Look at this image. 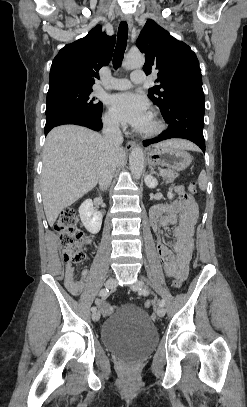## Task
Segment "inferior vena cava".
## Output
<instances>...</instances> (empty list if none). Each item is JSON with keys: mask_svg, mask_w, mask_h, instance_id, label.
<instances>
[{"mask_svg": "<svg viewBox=\"0 0 247 407\" xmlns=\"http://www.w3.org/2000/svg\"><path fill=\"white\" fill-rule=\"evenodd\" d=\"M103 141L106 147V153L101 165L99 185L107 188L113 178L117 165L114 153L120 148L123 143V137L119 124L114 120H107L103 124Z\"/></svg>", "mask_w": 247, "mask_h": 407, "instance_id": "obj_1", "label": "inferior vena cava"}]
</instances>
